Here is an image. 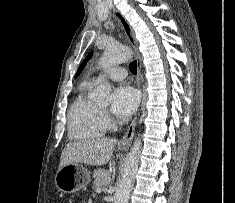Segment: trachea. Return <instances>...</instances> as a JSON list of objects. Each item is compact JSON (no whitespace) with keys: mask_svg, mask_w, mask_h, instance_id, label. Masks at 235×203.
<instances>
[{"mask_svg":"<svg viewBox=\"0 0 235 203\" xmlns=\"http://www.w3.org/2000/svg\"><path fill=\"white\" fill-rule=\"evenodd\" d=\"M129 69L133 74H136L137 73V62L133 61L132 63H130Z\"/></svg>","mask_w":235,"mask_h":203,"instance_id":"obj_1","label":"trachea"}]
</instances>
